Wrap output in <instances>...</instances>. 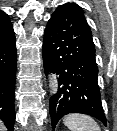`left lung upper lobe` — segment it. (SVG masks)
<instances>
[{
    "mask_svg": "<svg viewBox=\"0 0 117 131\" xmlns=\"http://www.w3.org/2000/svg\"><path fill=\"white\" fill-rule=\"evenodd\" d=\"M74 6L80 11V13L83 15V11H82V9H81V7H79L78 5H76V4H74ZM83 17H84V15H83ZM85 18V17H84Z\"/></svg>",
    "mask_w": 117,
    "mask_h": 131,
    "instance_id": "obj_1",
    "label": "left lung upper lobe"
}]
</instances>
